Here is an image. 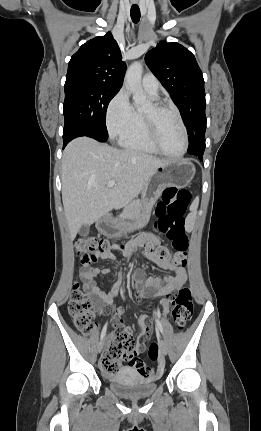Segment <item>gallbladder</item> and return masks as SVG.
I'll return each mask as SVG.
<instances>
[{"label": "gallbladder", "mask_w": 261, "mask_h": 431, "mask_svg": "<svg viewBox=\"0 0 261 431\" xmlns=\"http://www.w3.org/2000/svg\"><path fill=\"white\" fill-rule=\"evenodd\" d=\"M89 229H90L89 226H86V225L82 226L79 231L80 235L86 236L89 233Z\"/></svg>", "instance_id": "1"}]
</instances>
